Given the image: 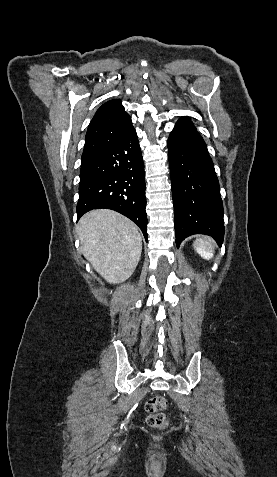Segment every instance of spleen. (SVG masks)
Masks as SVG:
<instances>
[{
	"instance_id": "obj_1",
	"label": "spleen",
	"mask_w": 277,
	"mask_h": 477,
	"mask_svg": "<svg viewBox=\"0 0 277 477\" xmlns=\"http://www.w3.org/2000/svg\"><path fill=\"white\" fill-rule=\"evenodd\" d=\"M194 248L200 256L206 260H209L213 257L214 246L213 242L210 240H198L194 243Z\"/></svg>"
}]
</instances>
